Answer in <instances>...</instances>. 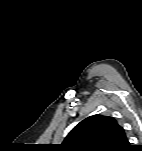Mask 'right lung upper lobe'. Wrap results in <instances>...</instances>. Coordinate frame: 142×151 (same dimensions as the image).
<instances>
[{"label":"right lung upper lobe","instance_id":"right-lung-upper-lobe-1","mask_svg":"<svg viewBox=\"0 0 142 151\" xmlns=\"http://www.w3.org/2000/svg\"><path fill=\"white\" fill-rule=\"evenodd\" d=\"M58 151H129L124 129L109 116L93 115L76 125Z\"/></svg>","mask_w":142,"mask_h":151}]
</instances>
